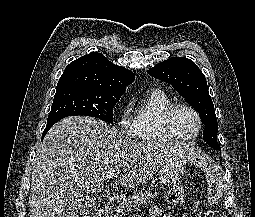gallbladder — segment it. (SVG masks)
<instances>
[{"mask_svg":"<svg viewBox=\"0 0 255 217\" xmlns=\"http://www.w3.org/2000/svg\"><path fill=\"white\" fill-rule=\"evenodd\" d=\"M97 201L95 198L87 197L85 198L84 202V209L82 210V214L90 213V210H92L93 207L97 206Z\"/></svg>","mask_w":255,"mask_h":217,"instance_id":"gallbladder-1","label":"gallbladder"}]
</instances>
